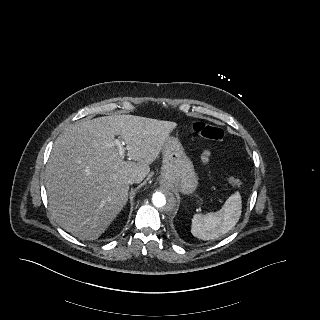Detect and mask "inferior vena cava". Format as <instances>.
Returning <instances> with one entry per match:
<instances>
[{
    "label": "inferior vena cava",
    "mask_w": 320,
    "mask_h": 320,
    "mask_svg": "<svg viewBox=\"0 0 320 320\" xmlns=\"http://www.w3.org/2000/svg\"><path fill=\"white\" fill-rule=\"evenodd\" d=\"M135 182H136V180H135L134 177H132V176L128 177V179H127V183H128V184H133V183H135Z\"/></svg>",
    "instance_id": "obj_1"
}]
</instances>
